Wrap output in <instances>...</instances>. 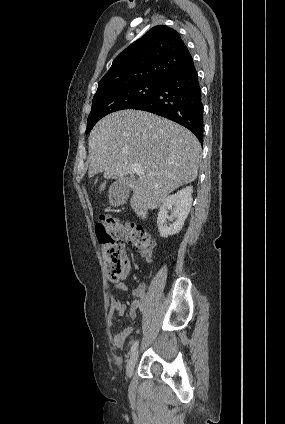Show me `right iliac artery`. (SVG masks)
<instances>
[{
	"label": "right iliac artery",
	"mask_w": 285,
	"mask_h": 424,
	"mask_svg": "<svg viewBox=\"0 0 285 424\" xmlns=\"http://www.w3.org/2000/svg\"><path fill=\"white\" fill-rule=\"evenodd\" d=\"M139 345V340H137L131 347V353L135 352V350L137 349Z\"/></svg>",
	"instance_id": "right-iliac-artery-1"
}]
</instances>
